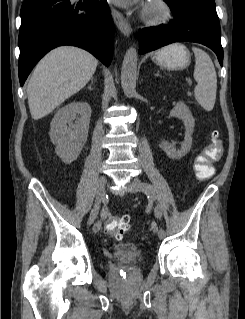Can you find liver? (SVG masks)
Instances as JSON below:
<instances>
[{
  "instance_id": "obj_1",
  "label": "liver",
  "mask_w": 245,
  "mask_h": 319,
  "mask_svg": "<svg viewBox=\"0 0 245 319\" xmlns=\"http://www.w3.org/2000/svg\"><path fill=\"white\" fill-rule=\"evenodd\" d=\"M98 60L77 47H59L35 67L27 85L31 116L41 119L79 92L96 71Z\"/></svg>"
}]
</instances>
